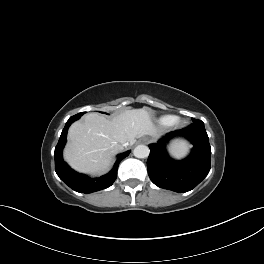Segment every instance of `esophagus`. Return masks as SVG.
I'll return each mask as SVG.
<instances>
[{
    "label": "esophagus",
    "mask_w": 264,
    "mask_h": 264,
    "mask_svg": "<svg viewBox=\"0 0 264 264\" xmlns=\"http://www.w3.org/2000/svg\"><path fill=\"white\" fill-rule=\"evenodd\" d=\"M143 141L146 143V142L149 141V139L148 138H144Z\"/></svg>",
    "instance_id": "esophagus-1"
}]
</instances>
